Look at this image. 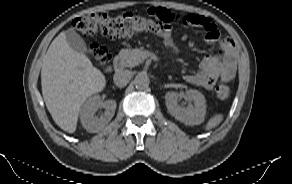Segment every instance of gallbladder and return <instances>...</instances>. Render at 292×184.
I'll use <instances>...</instances> for the list:
<instances>
[{
	"label": "gallbladder",
	"mask_w": 292,
	"mask_h": 184,
	"mask_svg": "<svg viewBox=\"0 0 292 184\" xmlns=\"http://www.w3.org/2000/svg\"><path fill=\"white\" fill-rule=\"evenodd\" d=\"M66 41L68 45L75 51L86 54L87 46L83 38L72 28L65 32Z\"/></svg>",
	"instance_id": "obj_1"
}]
</instances>
